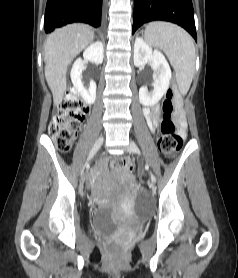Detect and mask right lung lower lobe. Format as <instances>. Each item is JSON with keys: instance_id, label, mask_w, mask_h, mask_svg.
Returning a JSON list of instances; mask_svg holds the SVG:
<instances>
[{"instance_id": "1", "label": "right lung lower lobe", "mask_w": 238, "mask_h": 278, "mask_svg": "<svg viewBox=\"0 0 238 278\" xmlns=\"http://www.w3.org/2000/svg\"><path fill=\"white\" fill-rule=\"evenodd\" d=\"M104 0H47L44 27L46 33L73 22L101 25Z\"/></svg>"}]
</instances>
